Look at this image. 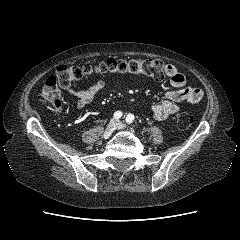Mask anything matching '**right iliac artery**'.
Instances as JSON below:
<instances>
[{
	"label": "right iliac artery",
	"instance_id": "82829eb1",
	"mask_svg": "<svg viewBox=\"0 0 240 240\" xmlns=\"http://www.w3.org/2000/svg\"><path fill=\"white\" fill-rule=\"evenodd\" d=\"M122 117V112L121 111H116L115 113H114V118L115 119H120Z\"/></svg>",
	"mask_w": 240,
	"mask_h": 240
}]
</instances>
